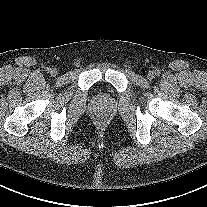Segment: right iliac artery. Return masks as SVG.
<instances>
[{
  "instance_id": "right-iliac-artery-1",
  "label": "right iliac artery",
  "mask_w": 207,
  "mask_h": 207,
  "mask_svg": "<svg viewBox=\"0 0 207 207\" xmlns=\"http://www.w3.org/2000/svg\"><path fill=\"white\" fill-rule=\"evenodd\" d=\"M45 71H46V72H50V71H51V68L47 67V68L45 69Z\"/></svg>"
}]
</instances>
